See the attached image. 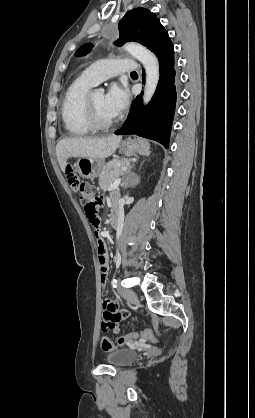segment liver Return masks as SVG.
Wrapping results in <instances>:
<instances>
[{"label":"liver","mask_w":255,"mask_h":418,"mask_svg":"<svg viewBox=\"0 0 255 418\" xmlns=\"http://www.w3.org/2000/svg\"><path fill=\"white\" fill-rule=\"evenodd\" d=\"M122 136L111 135L106 138H65L58 142L56 155L63 172L67 160L71 157L80 158H107L115 153Z\"/></svg>","instance_id":"liver-1"}]
</instances>
